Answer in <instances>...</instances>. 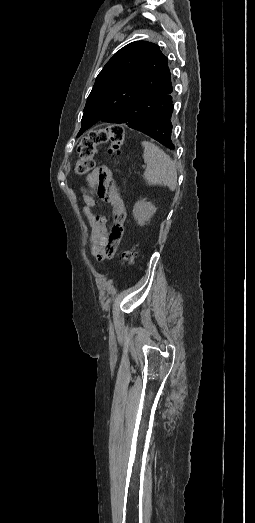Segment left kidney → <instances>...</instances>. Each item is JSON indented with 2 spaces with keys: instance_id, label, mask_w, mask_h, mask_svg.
Wrapping results in <instances>:
<instances>
[{
  "instance_id": "left-kidney-1",
  "label": "left kidney",
  "mask_w": 255,
  "mask_h": 523,
  "mask_svg": "<svg viewBox=\"0 0 255 523\" xmlns=\"http://www.w3.org/2000/svg\"><path fill=\"white\" fill-rule=\"evenodd\" d=\"M157 208L151 204V202H146L145 198L139 200L133 208V216L137 220L139 226H145L146 222H150V218L154 216Z\"/></svg>"
}]
</instances>
